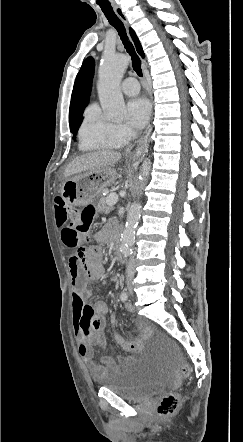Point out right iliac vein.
<instances>
[{"label":"right iliac vein","mask_w":243,"mask_h":442,"mask_svg":"<svg viewBox=\"0 0 243 442\" xmlns=\"http://www.w3.org/2000/svg\"><path fill=\"white\" fill-rule=\"evenodd\" d=\"M128 290H129V291L132 290V286H131V285L128 286Z\"/></svg>","instance_id":"63e3f726"}]
</instances>
